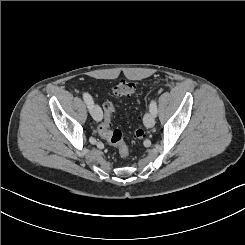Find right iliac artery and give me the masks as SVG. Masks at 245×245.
Masks as SVG:
<instances>
[{"instance_id":"obj_1","label":"right iliac artery","mask_w":245,"mask_h":245,"mask_svg":"<svg viewBox=\"0 0 245 245\" xmlns=\"http://www.w3.org/2000/svg\"><path fill=\"white\" fill-rule=\"evenodd\" d=\"M83 99L87 104L88 108L90 109L93 104V99L88 93H83Z\"/></svg>"}]
</instances>
